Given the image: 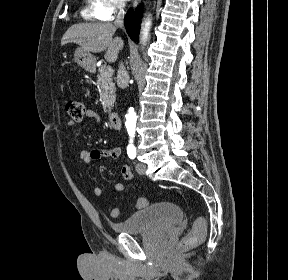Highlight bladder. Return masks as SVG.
I'll return each mask as SVG.
<instances>
[{
    "label": "bladder",
    "instance_id": "obj_1",
    "mask_svg": "<svg viewBox=\"0 0 288 280\" xmlns=\"http://www.w3.org/2000/svg\"><path fill=\"white\" fill-rule=\"evenodd\" d=\"M182 220L183 212L178 205L161 202L149 205L112 227L118 233L137 234L169 228Z\"/></svg>",
    "mask_w": 288,
    "mask_h": 280
}]
</instances>
